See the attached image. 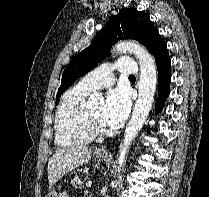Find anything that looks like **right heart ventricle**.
I'll use <instances>...</instances> for the list:
<instances>
[{
  "mask_svg": "<svg viewBox=\"0 0 209 197\" xmlns=\"http://www.w3.org/2000/svg\"><path fill=\"white\" fill-rule=\"evenodd\" d=\"M91 91L76 85L65 92L55 114V141L61 147H75L92 140L84 122V106Z\"/></svg>",
  "mask_w": 209,
  "mask_h": 197,
  "instance_id": "obj_1",
  "label": "right heart ventricle"
}]
</instances>
